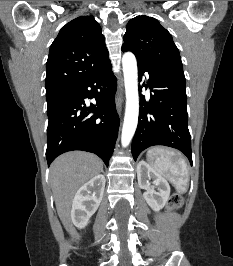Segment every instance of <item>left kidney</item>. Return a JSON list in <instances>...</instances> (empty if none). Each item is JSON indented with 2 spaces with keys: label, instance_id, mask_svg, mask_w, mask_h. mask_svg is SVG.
Returning a JSON list of instances; mask_svg holds the SVG:
<instances>
[{
  "label": "left kidney",
  "instance_id": "obj_1",
  "mask_svg": "<svg viewBox=\"0 0 233 266\" xmlns=\"http://www.w3.org/2000/svg\"><path fill=\"white\" fill-rule=\"evenodd\" d=\"M137 178L139 187L146 190L143 197L148 205L154 211L162 209L170 195V186L167 180L145 161H140L137 165Z\"/></svg>",
  "mask_w": 233,
  "mask_h": 266
}]
</instances>
